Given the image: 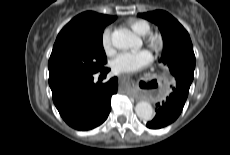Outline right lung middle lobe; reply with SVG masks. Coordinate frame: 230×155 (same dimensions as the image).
Listing matches in <instances>:
<instances>
[{
	"label": "right lung middle lobe",
	"instance_id": "dd1d6c3e",
	"mask_svg": "<svg viewBox=\"0 0 230 155\" xmlns=\"http://www.w3.org/2000/svg\"><path fill=\"white\" fill-rule=\"evenodd\" d=\"M107 62L102 36L92 41L55 44L48 62L49 76L72 72H98Z\"/></svg>",
	"mask_w": 230,
	"mask_h": 155
}]
</instances>
